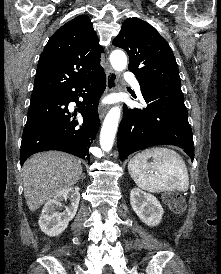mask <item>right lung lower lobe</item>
<instances>
[{
    "label": "right lung lower lobe",
    "mask_w": 221,
    "mask_h": 274,
    "mask_svg": "<svg viewBox=\"0 0 221 274\" xmlns=\"http://www.w3.org/2000/svg\"><path fill=\"white\" fill-rule=\"evenodd\" d=\"M105 88L106 77L102 69L58 93L32 99L22 135L21 165L30 155L48 150L67 152L90 162L89 147L100 125L98 101ZM80 96L82 102L78 100ZM72 101L76 102L82 120L71 119L68 115V104Z\"/></svg>",
    "instance_id": "1"
}]
</instances>
